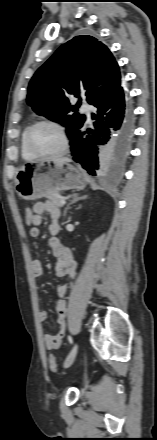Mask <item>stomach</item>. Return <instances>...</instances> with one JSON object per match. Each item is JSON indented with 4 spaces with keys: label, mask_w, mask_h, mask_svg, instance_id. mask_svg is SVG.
I'll return each mask as SVG.
<instances>
[{
    "label": "stomach",
    "mask_w": 157,
    "mask_h": 440,
    "mask_svg": "<svg viewBox=\"0 0 157 440\" xmlns=\"http://www.w3.org/2000/svg\"><path fill=\"white\" fill-rule=\"evenodd\" d=\"M87 175L68 162L37 160L23 165L15 176V190L24 200H37L60 191L83 189Z\"/></svg>",
    "instance_id": "1"
}]
</instances>
